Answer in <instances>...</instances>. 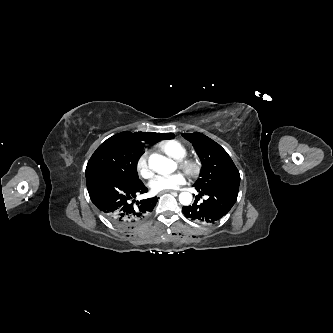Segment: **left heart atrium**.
Segmentation results:
<instances>
[{
    "label": "left heart atrium",
    "mask_w": 333,
    "mask_h": 333,
    "mask_svg": "<svg viewBox=\"0 0 333 333\" xmlns=\"http://www.w3.org/2000/svg\"><path fill=\"white\" fill-rule=\"evenodd\" d=\"M185 182V175L181 172H177L170 175L156 176L150 182V187L154 192H164L167 190L176 189L183 185Z\"/></svg>",
    "instance_id": "obj_1"
}]
</instances>
